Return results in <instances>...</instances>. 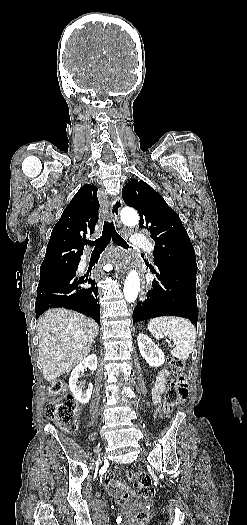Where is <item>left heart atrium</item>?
I'll list each match as a JSON object with an SVG mask.
<instances>
[{
  "mask_svg": "<svg viewBox=\"0 0 247 525\" xmlns=\"http://www.w3.org/2000/svg\"><path fill=\"white\" fill-rule=\"evenodd\" d=\"M100 261H104V272H94L98 279L103 278L108 270L119 273L128 270L130 265L127 264V254L119 252H107Z\"/></svg>",
  "mask_w": 247,
  "mask_h": 525,
  "instance_id": "39dd6f15",
  "label": "left heart atrium"
}]
</instances>
